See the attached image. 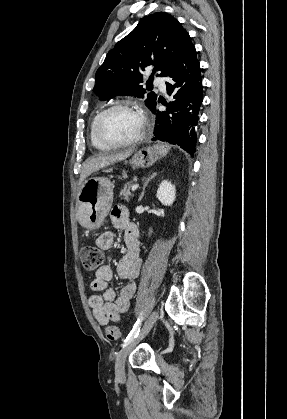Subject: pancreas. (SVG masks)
Masks as SVG:
<instances>
[{"instance_id":"1","label":"pancreas","mask_w":287,"mask_h":419,"mask_svg":"<svg viewBox=\"0 0 287 419\" xmlns=\"http://www.w3.org/2000/svg\"><path fill=\"white\" fill-rule=\"evenodd\" d=\"M132 187V182H128L127 184H125L123 189L120 191V196H122L125 200H129V197L134 196V194L131 192Z\"/></svg>"}]
</instances>
